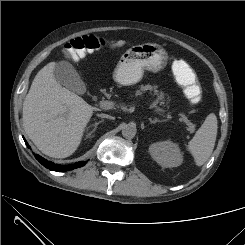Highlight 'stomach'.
Here are the masks:
<instances>
[{
    "instance_id": "1",
    "label": "stomach",
    "mask_w": 245,
    "mask_h": 245,
    "mask_svg": "<svg viewBox=\"0 0 245 245\" xmlns=\"http://www.w3.org/2000/svg\"><path fill=\"white\" fill-rule=\"evenodd\" d=\"M167 59L166 50L156 43L133 46L122 54L113 79L123 86L134 85L142 79L145 70L154 73L163 70Z\"/></svg>"
}]
</instances>
